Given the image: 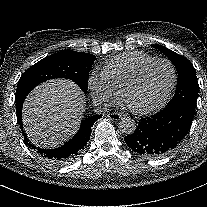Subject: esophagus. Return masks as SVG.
<instances>
[{"instance_id": "1", "label": "esophagus", "mask_w": 207, "mask_h": 207, "mask_svg": "<svg viewBox=\"0 0 207 207\" xmlns=\"http://www.w3.org/2000/svg\"><path fill=\"white\" fill-rule=\"evenodd\" d=\"M107 116L111 120H119L121 118V114L119 113H109Z\"/></svg>"}]
</instances>
